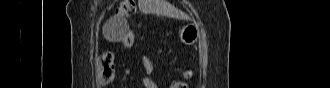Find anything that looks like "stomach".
I'll return each instance as SVG.
<instances>
[{
    "mask_svg": "<svg viewBox=\"0 0 330 88\" xmlns=\"http://www.w3.org/2000/svg\"><path fill=\"white\" fill-rule=\"evenodd\" d=\"M180 40L186 45H193L199 39V28L194 23H188L180 29Z\"/></svg>",
    "mask_w": 330,
    "mask_h": 88,
    "instance_id": "stomach-1",
    "label": "stomach"
}]
</instances>
